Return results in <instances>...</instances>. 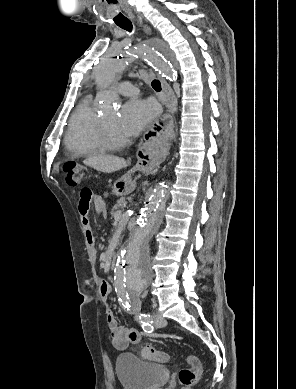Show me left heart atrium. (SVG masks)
<instances>
[{
  "instance_id": "39dd6f15",
  "label": "left heart atrium",
  "mask_w": 296,
  "mask_h": 389,
  "mask_svg": "<svg viewBox=\"0 0 296 389\" xmlns=\"http://www.w3.org/2000/svg\"><path fill=\"white\" fill-rule=\"evenodd\" d=\"M158 109L151 101L132 99L121 109L117 127L124 136L143 131L157 116Z\"/></svg>"
}]
</instances>
